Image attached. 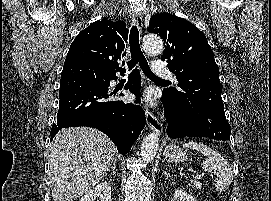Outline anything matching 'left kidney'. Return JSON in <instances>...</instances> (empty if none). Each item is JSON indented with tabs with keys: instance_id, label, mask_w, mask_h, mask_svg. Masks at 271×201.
<instances>
[{
	"instance_id": "1",
	"label": "left kidney",
	"mask_w": 271,
	"mask_h": 201,
	"mask_svg": "<svg viewBox=\"0 0 271 201\" xmlns=\"http://www.w3.org/2000/svg\"><path fill=\"white\" fill-rule=\"evenodd\" d=\"M171 201H196L190 194L182 189L175 190Z\"/></svg>"
}]
</instances>
